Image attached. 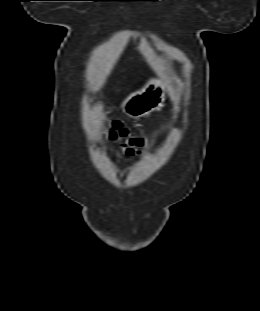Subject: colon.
<instances>
[{"instance_id":"1","label":"colon","mask_w":260,"mask_h":311,"mask_svg":"<svg viewBox=\"0 0 260 311\" xmlns=\"http://www.w3.org/2000/svg\"><path fill=\"white\" fill-rule=\"evenodd\" d=\"M111 139L120 144L121 152L126 154H135L143 145L141 138L132 136L129 132L122 128L118 122L112 123Z\"/></svg>"}]
</instances>
